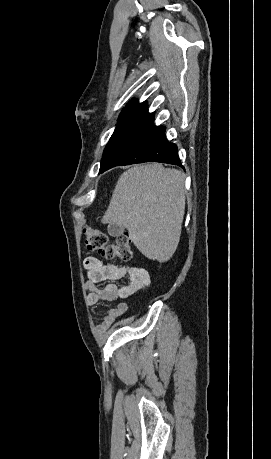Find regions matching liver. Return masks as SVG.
<instances>
[{"mask_svg": "<svg viewBox=\"0 0 271 459\" xmlns=\"http://www.w3.org/2000/svg\"><path fill=\"white\" fill-rule=\"evenodd\" d=\"M184 212V174L138 164L120 176L102 224L125 226L143 255L168 261L180 241Z\"/></svg>", "mask_w": 271, "mask_h": 459, "instance_id": "1", "label": "liver"}]
</instances>
